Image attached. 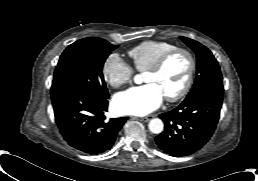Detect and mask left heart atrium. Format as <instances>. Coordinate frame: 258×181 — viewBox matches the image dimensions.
Instances as JSON below:
<instances>
[{
	"label": "left heart atrium",
	"mask_w": 258,
	"mask_h": 181,
	"mask_svg": "<svg viewBox=\"0 0 258 181\" xmlns=\"http://www.w3.org/2000/svg\"><path fill=\"white\" fill-rule=\"evenodd\" d=\"M164 94L153 83L131 87L114 97V109L124 115H146L156 110L162 103Z\"/></svg>",
	"instance_id": "39dd6f15"
}]
</instances>
